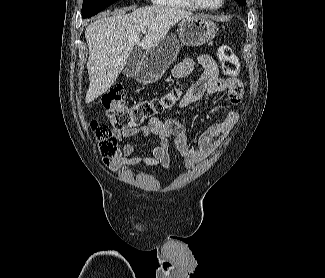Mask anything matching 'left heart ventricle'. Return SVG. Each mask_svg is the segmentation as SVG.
I'll use <instances>...</instances> for the list:
<instances>
[{
    "mask_svg": "<svg viewBox=\"0 0 325 278\" xmlns=\"http://www.w3.org/2000/svg\"><path fill=\"white\" fill-rule=\"evenodd\" d=\"M206 6H215L220 3L221 0H200Z\"/></svg>",
    "mask_w": 325,
    "mask_h": 278,
    "instance_id": "left-heart-ventricle-1",
    "label": "left heart ventricle"
}]
</instances>
